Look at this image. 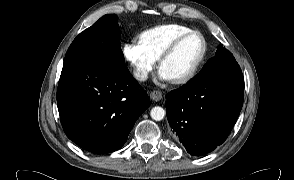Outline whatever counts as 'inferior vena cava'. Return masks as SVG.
Returning <instances> with one entry per match:
<instances>
[{
    "instance_id": "602c4592",
    "label": "inferior vena cava",
    "mask_w": 294,
    "mask_h": 180,
    "mask_svg": "<svg viewBox=\"0 0 294 180\" xmlns=\"http://www.w3.org/2000/svg\"><path fill=\"white\" fill-rule=\"evenodd\" d=\"M134 77H135L137 80L145 81V80H147V78H148V74H147V72L144 71V70H136V71H134Z\"/></svg>"
}]
</instances>
